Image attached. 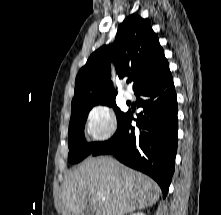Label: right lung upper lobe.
I'll use <instances>...</instances> for the list:
<instances>
[{"mask_svg": "<svg viewBox=\"0 0 221 215\" xmlns=\"http://www.w3.org/2000/svg\"><path fill=\"white\" fill-rule=\"evenodd\" d=\"M112 60L119 78H132L134 92L169 71L149 20L132 14L119 25L114 43L93 52L80 69L72 105L115 99L117 92L110 80Z\"/></svg>", "mask_w": 221, "mask_h": 215, "instance_id": "cb5924a9", "label": "right lung upper lobe"}]
</instances>
